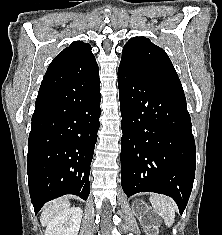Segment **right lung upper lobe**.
<instances>
[{
    "mask_svg": "<svg viewBox=\"0 0 222 235\" xmlns=\"http://www.w3.org/2000/svg\"><path fill=\"white\" fill-rule=\"evenodd\" d=\"M98 72L99 67L91 52V46L82 41H75L53 59L43 81L67 83L79 78L93 76Z\"/></svg>",
    "mask_w": 222,
    "mask_h": 235,
    "instance_id": "1",
    "label": "right lung upper lobe"
}]
</instances>
